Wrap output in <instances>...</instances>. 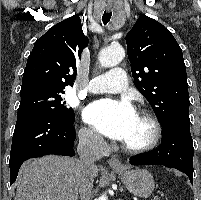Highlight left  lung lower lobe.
I'll use <instances>...</instances> for the list:
<instances>
[{"label":"left lung lower lobe","instance_id":"left-lung-lower-lobe-1","mask_svg":"<svg viewBox=\"0 0 201 200\" xmlns=\"http://www.w3.org/2000/svg\"><path fill=\"white\" fill-rule=\"evenodd\" d=\"M193 141L190 134V119L175 116L162 124L160 146L150 152L131 157V165H164L185 173L193 184Z\"/></svg>","mask_w":201,"mask_h":200}]
</instances>
